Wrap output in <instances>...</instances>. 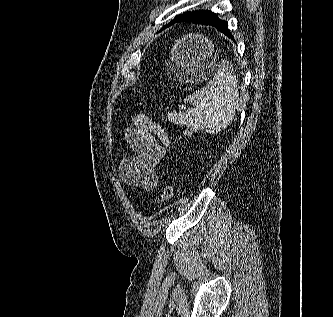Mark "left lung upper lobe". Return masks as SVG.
I'll use <instances>...</instances> for the list:
<instances>
[{"mask_svg":"<svg viewBox=\"0 0 333 317\" xmlns=\"http://www.w3.org/2000/svg\"><path fill=\"white\" fill-rule=\"evenodd\" d=\"M187 13H189V12H186V13H183V14H181V15H178L177 17H175V19L174 20H172L169 24H166L165 26H163V28L162 29H165V28H167L168 26H170V24L171 23H173V22H175V21H177V20H179L180 18H182L184 15H186ZM161 29V30H162Z\"/></svg>","mask_w":333,"mask_h":317,"instance_id":"obj_1","label":"left lung upper lobe"}]
</instances>
